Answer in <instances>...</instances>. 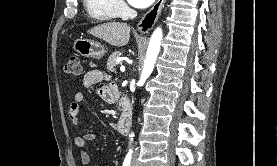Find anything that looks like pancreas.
I'll return each instance as SVG.
<instances>
[{
    "label": "pancreas",
    "instance_id": "1",
    "mask_svg": "<svg viewBox=\"0 0 277 166\" xmlns=\"http://www.w3.org/2000/svg\"><path fill=\"white\" fill-rule=\"evenodd\" d=\"M121 56L120 52H114L112 55H110L108 62H107V69L111 72H115L116 71V59L119 58Z\"/></svg>",
    "mask_w": 277,
    "mask_h": 166
}]
</instances>
